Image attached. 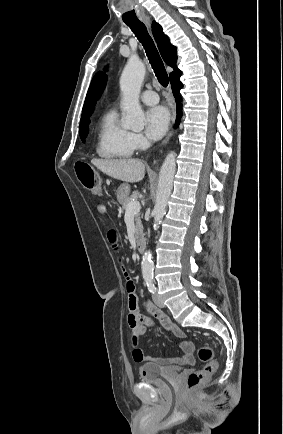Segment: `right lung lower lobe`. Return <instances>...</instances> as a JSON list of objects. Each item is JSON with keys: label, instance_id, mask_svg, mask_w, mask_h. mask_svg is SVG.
<instances>
[{"label": "right lung lower lobe", "instance_id": "right-lung-lower-lobe-1", "mask_svg": "<svg viewBox=\"0 0 283 434\" xmlns=\"http://www.w3.org/2000/svg\"><path fill=\"white\" fill-rule=\"evenodd\" d=\"M180 76H181V72H179L172 79H170L172 85V92L177 104L176 126L179 125L180 119L182 117V103H181V98L179 96V91L182 88V82L180 81Z\"/></svg>", "mask_w": 283, "mask_h": 434}]
</instances>
